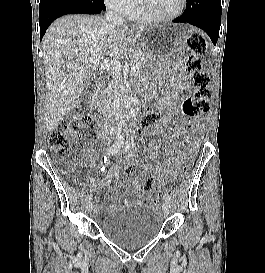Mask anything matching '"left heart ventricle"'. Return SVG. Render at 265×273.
<instances>
[{"label":"left heart ventricle","mask_w":265,"mask_h":273,"mask_svg":"<svg viewBox=\"0 0 265 273\" xmlns=\"http://www.w3.org/2000/svg\"><path fill=\"white\" fill-rule=\"evenodd\" d=\"M152 13L159 16L174 14L181 5V0H147Z\"/></svg>","instance_id":"1"}]
</instances>
